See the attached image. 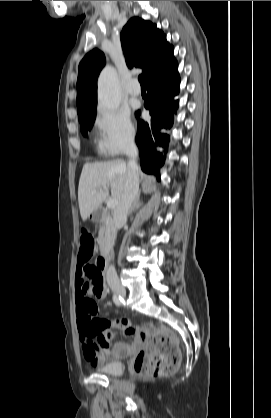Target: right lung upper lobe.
<instances>
[{
    "label": "right lung upper lobe",
    "mask_w": 271,
    "mask_h": 418,
    "mask_svg": "<svg viewBox=\"0 0 271 418\" xmlns=\"http://www.w3.org/2000/svg\"><path fill=\"white\" fill-rule=\"evenodd\" d=\"M121 43L128 67L143 69L145 80L174 60L173 47L156 25L138 17L131 18L121 32ZM105 64L104 54L90 51L79 64L77 79L78 117L97 106V78Z\"/></svg>",
    "instance_id": "1"
}]
</instances>
